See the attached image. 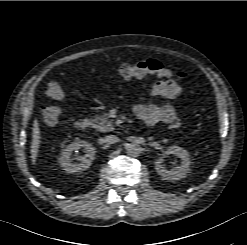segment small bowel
Listing matches in <instances>:
<instances>
[{
	"instance_id": "1",
	"label": "small bowel",
	"mask_w": 247,
	"mask_h": 245,
	"mask_svg": "<svg viewBox=\"0 0 247 245\" xmlns=\"http://www.w3.org/2000/svg\"><path fill=\"white\" fill-rule=\"evenodd\" d=\"M182 93V87L174 80H160L152 87L154 99L165 98L170 101L176 100ZM134 114L147 125L158 122L170 123L177 119V112L171 103L158 104L153 102L149 105H136Z\"/></svg>"
}]
</instances>
